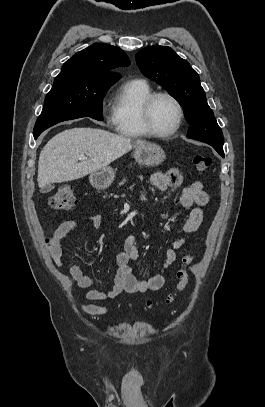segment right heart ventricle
<instances>
[{
	"label": "right heart ventricle",
	"instance_id": "e07e8e85",
	"mask_svg": "<svg viewBox=\"0 0 265 407\" xmlns=\"http://www.w3.org/2000/svg\"><path fill=\"white\" fill-rule=\"evenodd\" d=\"M152 93L151 86L144 79L130 80L122 85L112 112V123L117 133L128 138L150 136L143 125L141 109Z\"/></svg>",
	"mask_w": 265,
	"mask_h": 407
}]
</instances>
